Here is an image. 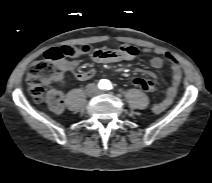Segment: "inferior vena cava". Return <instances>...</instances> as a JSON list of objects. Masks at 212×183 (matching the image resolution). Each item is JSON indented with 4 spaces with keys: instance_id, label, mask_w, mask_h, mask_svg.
I'll use <instances>...</instances> for the list:
<instances>
[{
    "instance_id": "inferior-vena-cava-1",
    "label": "inferior vena cava",
    "mask_w": 212,
    "mask_h": 183,
    "mask_svg": "<svg viewBox=\"0 0 212 183\" xmlns=\"http://www.w3.org/2000/svg\"><path fill=\"white\" fill-rule=\"evenodd\" d=\"M87 88H88V90L91 91V92H97V91H98L97 87H96L94 84H89V85L87 86Z\"/></svg>"
}]
</instances>
